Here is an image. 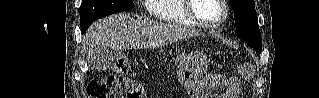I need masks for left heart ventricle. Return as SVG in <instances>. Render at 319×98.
I'll use <instances>...</instances> for the list:
<instances>
[{"label": "left heart ventricle", "mask_w": 319, "mask_h": 98, "mask_svg": "<svg viewBox=\"0 0 319 98\" xmlns=\"http://www.w3.org/2000/svg\"><path fill=\"white\" fill-rule=\"evenodd\" d=\"M193 12L207 23H216L223 16V8L218 0H194Z\"/></svg>", "instance_id": "left-heart-ventricle-1"}]
</instances>
